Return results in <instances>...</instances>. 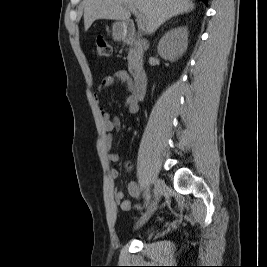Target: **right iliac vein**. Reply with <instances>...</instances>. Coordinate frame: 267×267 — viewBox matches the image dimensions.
Here are the masks:
<instances>
[{
  "label": "right iliac vein",
  "instance_id": "obj_1",
  "mask_svg": "<svg viewBox=\"0 0 267 267\" xmlns=\"http://www.w3.org/2000/svg\"><path fill=\"white\" fill-rule=\"evenodd\" d=\"M153 183H154L155 200H154L153 204L148 208L147 212L140 219L137 226L143 225L150 218V216L153 214V212L156 208V205H157L161 195L163 194V192L165 190L166 185L160 179L155 178L153 180Z\"/></svg>",
  "mask_w": 267,
  "mask_h": 267
}]
</instances>
